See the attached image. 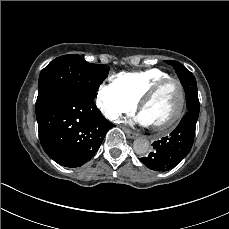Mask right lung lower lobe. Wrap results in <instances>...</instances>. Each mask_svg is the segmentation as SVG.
<instances>
[{
	"label": "right lung lower lobe",
	"mask_w": 229,
	"mask_h": 229,
	"mask_svg": "<svg viewBox=\"0 0 229 229\" xmlns=\"http://www.w3.org/2000/svg\"><path fill=\"white\" fill-rule=\"evenodd\" d=\"M39 138L46 154L58 164L80 167L99 149L114 125L91 99L76 90H61L36 109Z\"/></svg>",
	"instance_id": "obj_1"
}]
</instances>
